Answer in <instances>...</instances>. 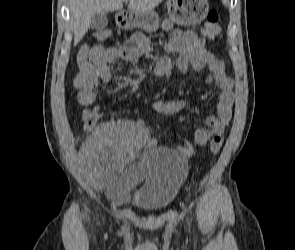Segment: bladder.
<instances>
[{"label": "bladder", "instance_id": "obj_1", "mask_svg": "<svg viewBox=\"0 0 295 250\" xmlns=\"http://www.w3.org/2000/svg\"><path fill=\"white\" fill-rule=\"evenodd\" d=\"M139 161H143L146 175L136 187L134 203L141 210H161L174 199L184 182L188 173L186 160L173 149L155 148Z\"/></svg>", "mask_w": 295, "mask_h": 250}]
</instances>
